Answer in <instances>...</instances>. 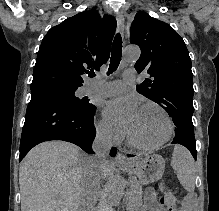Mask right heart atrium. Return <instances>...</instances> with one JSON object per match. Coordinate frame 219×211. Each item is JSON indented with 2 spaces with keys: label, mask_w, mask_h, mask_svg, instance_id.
Wrapping results in <instances>:
<instances>
[{
  "label": "right heart atrium",
  "mask_w": 219,
  "mask_h": 211,
  "mask_svg": "<svg viewBox=\"0 0 219 211\" xmlns=\"http://www.w3.org/2000/svg\"><path fill=\"white\" fill-rule=\"evenodd\" d=\"M98 137L110 144L119 143L122 138V131L119 127L106 119H100L96 124Z\"/></svg>",
  "instance_id": "d8ad5b80"
}]
</instances>
